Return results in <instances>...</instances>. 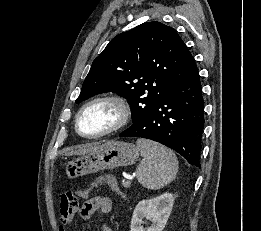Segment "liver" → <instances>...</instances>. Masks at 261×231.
Here are the masks:
<instances>
[{"instance_id":"6515ba94","label":"liver","mask_w":261,"mask_h":231,"mask_svg":"<svg viewBox=\"0 0 261 231\" xmlns=\"http://www.w3.org/2000/svg\"><path fill=\"white\" fill-rule=\"evenodd\" d=\"M108 144H110V142H106L104 144H100L98 142L86 144V145L78 146L74 149L68 150V152H66V154L67 155H86V154H89L92 152H96Z\"/></svg>"}]
</instances>
